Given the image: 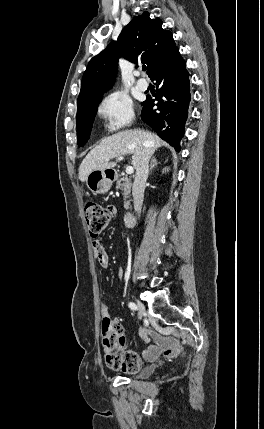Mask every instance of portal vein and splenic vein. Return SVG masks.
<instances>
[{"mask_svg":"<svg viewBox=\"0 0 264 429\" xmlns=\"http://www.w3.org/2000/svg\"><path fill=\"white\" fill-rule=\"evenodd\" d=\"M118 160H123V156L118 157ZM133 172H134L133 167H132V166H127V168H126V173L130 175V174H132Z\"/></svg>","mask_w":264,"mask_h":429,"instance_id":"obj_1","label":"portal vein and splenic vein"}]
</instances>
